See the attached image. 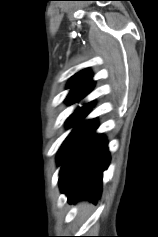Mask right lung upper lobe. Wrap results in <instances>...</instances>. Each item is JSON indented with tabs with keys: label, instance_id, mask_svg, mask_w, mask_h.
Segmentation results:
<instances>
[{
	"label": "right lung upper lobe",
	"instance_id": "obj_1",
	"mask_svg": "<svg viewBox=\"0 0 158 237\" xmlns=\"http://www.w3.org/2000/svg\"><path fill=\"white\" fill-rule=\"evenodd\" d=\"M92 74L88 69H84L75 74L67 87L72 88L66 102L74 103L86 96L94 86V81L91 80Z\"/></svg>",
	"mask_w": 158,
	"mask_h": 237
}]
</instances>
